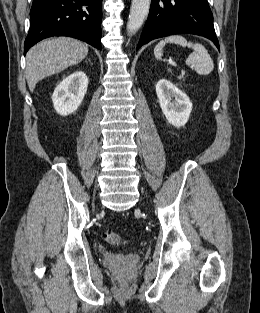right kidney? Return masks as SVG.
Wrapping results in <instances>:
<instances>
[{
  "label": "right kidney",
  "instance_id": "1",
  "mask_svg": "<svg viewBox=\"0 0 260 313\" xmlns=\"http://www.w3.org/2000/svg\"><path fill=\"white\" fill-rule=\"evenodd\" d=\"M87 87L88 77L83 71H74L64 78L52 95L56 112L66 116L76 111L83 101Z\"/></svg>",
  "mask_w": 260,
  "mask_h": 313
}]
</instances>
